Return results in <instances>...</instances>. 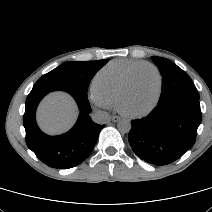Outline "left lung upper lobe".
<instances>
[{
    "mask_svg": "<svg viewBox=\"0 0 212 212\" xmlns=\"http://www.w3.org/2000/svg\"><path fill=\"white\" fill-rule=\"evenodd\" d=\"M162 75V91L158 102L186 96L199 100L198 91L188 74L163 57L152 56Z\"/></svg>",
    "mask_w": 212,
    "mask_h": 212,
    "instance_id": "1",
    "label": "left lung upper lobe"
}]
</instances>
